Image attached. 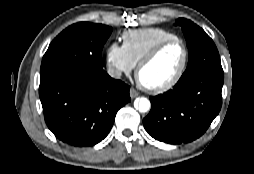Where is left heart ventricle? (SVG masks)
I'll return each instance as SVG.
<instances>
[{
	"instance_id": "1",
	"label": "left heart ventricle",
	"mask_w": 254,
	"mask_h": 174,
	"mask_svg": "<svg viewBox=\"0 0 254 174\" xmlns=\"http://www.w3.org/2000/svg\"><path fill=\"white\" fill-rule=\"evenodd\" d=\"M183 54V47L180 43L166 46L151 63L140 71V81L149 86L166 83L179 70Z\"/></svg>"
}]
</instances>
